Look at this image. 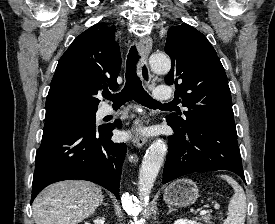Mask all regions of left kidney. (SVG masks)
Instances as JSON below:
<instances>
[{"label":"left kidney","instance_id":"1","mask_svg":"<svg viewBox=\"0 0 275 224\" xmlns=\"http://www.w3.org/2000/svg\"><path fill=\"white\" fill-rule=\"evenodd\" d=\"M174 224H201V223L196 222V221H191L188 219H179V220L175 221Z\"/></svg>","mask_w":275,"mask_h":224}]
</instances>
